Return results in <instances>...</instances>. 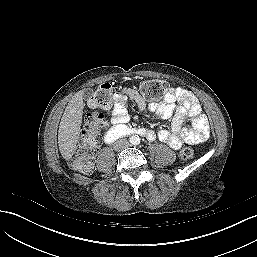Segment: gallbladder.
I'll use <instances>...</instances> for the list:
<instances>
[{
    "label": "gallbladder",
    "mask_w": 257,
    "mask_h": 257,
    "mask_svg": "<svg viewBox=\"0 0 257 257\" xmlns=\"http://www.w3.org/2000/svg\"><path fill=\"white\" fill-rule=\"evenodd\" d=\"M92 94L93 93L91 90H86V91H84L83 97H84V99H88L92 96Z\"/></svg>",
    "instance_id": "bac80fb5"
}]
</instances>
